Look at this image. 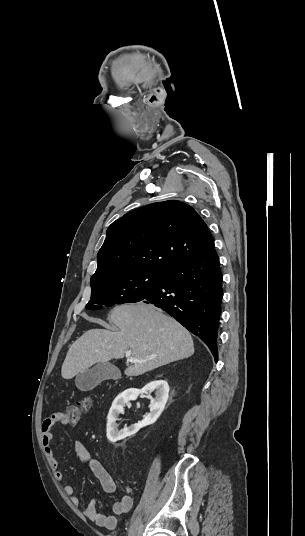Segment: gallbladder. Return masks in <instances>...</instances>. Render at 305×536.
<instances>
[{
	"mask_svg": "<svg viewBox=\"0 0 305 536\" xmlns=\"http://www.w3.org/2000/svg\"><path fill=\"white\" fill-rule=\"evenodd\" d=\"M121 378L120 370L108 362H98L91 370L84 374H78L75 378V386L81 392H88L99 386L104 380H118Z\"/></svg>",
	"mask_w": 305,
	"mask_h": 536,
	"instance_id": "bac80fb5",
	"label": "gallbladder"
}]
</instances>
